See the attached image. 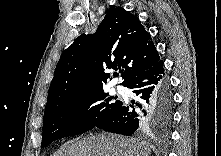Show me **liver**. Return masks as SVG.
<instances>
[{"label":"liver","instance_id":"obj_1","mask_svg":"<svg viewBox=\"0 0 221 156\" xmlns=\"http://www.w3.org/2000/svg\"><path fill=\"white\" fill-rule=\"evenodd\" d=\"M150 152L146 142L102 133L68 141L55 156H148Z\"/></svg>","mask_w":221,"mask_h":156}]
</instances>
